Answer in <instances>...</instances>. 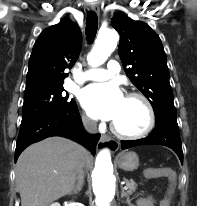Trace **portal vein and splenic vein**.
<instances>
[{
  "instance_id": "obj_1",
  "label": "portal vein and splenic vein",
  "mask_w": 197,
  "mask_h": 206,
  "mask_svg": "<svg viewBox=\"0 0 197 206\" xmlns=\"http://www.w3.org/2000/svg\"><path fill=\"white\" fill-rule=\"evenodd\" d=\"M123 189L127 190V186H124V188H123Z\"/></svg>"
}]
</instances>
